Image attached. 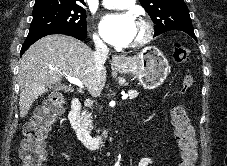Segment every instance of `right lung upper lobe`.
Returning <instances> with one entry per match:
<instances>
[{"mask_svg":"<svg viewBox=\"0 0 227 166\" xmlns=\"http://www.w3.org/2000/svg\"><path fill=\"white\" fill-rule=\"evenodd\" d=\"M45 3L85 5L84 0H36L35 5Z\"/></svg>","mask_w":227,"mask_h":166,"instance_id":"cb5924a9","label":"right lung upper lobe"}]
</instances>
